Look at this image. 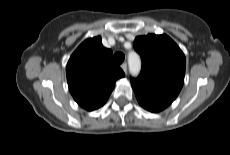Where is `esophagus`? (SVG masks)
Segmentation results:
<instances>
[{"mask_svg": "<svg viewBox=\"0 0 230 155\" xmlns=\"http://www.w3.org/2000/svg\"><path fill=\"white\" fill-rule=\"evenodd\" d=\"M121 68L126 73L127 72V63L124 62L123 64H121Z\"/></svg>", "mask_w": 230, "mask_h": 155, "instance_id": "obj_1", "label": "esophagus"}]
</instances>
